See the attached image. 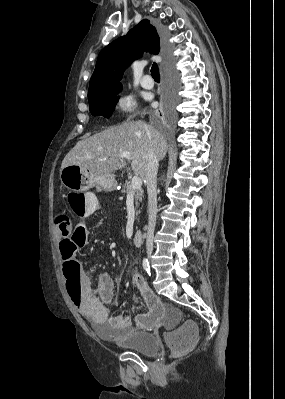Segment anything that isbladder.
Listing matches in <instances>:
<instances>
[{"label": "bladder", "mask_w": 285, "mask_h": 399, "mask_svg": "<svg viewBox=\"0 0 285 399\" xmlns=\"http://www.w3.org/2000/svg\"><path fill=\"white\" fill-rule=\"evenodd\" d=\"M97 332L105 335L100 326L97 327ZM109 339L118 343L124 349L136 351L146 356H154L159 352L157 340L154 334L150 332H133L131 335L122 338L109 336Z\"/></svg>", "instance_id": "obj_1"}]
</instances>
